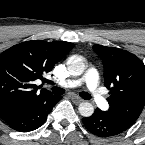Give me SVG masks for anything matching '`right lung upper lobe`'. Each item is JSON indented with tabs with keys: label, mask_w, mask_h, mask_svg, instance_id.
<instances>
[{
	"label": "right lung upper lobe",
	"mask_w": 145,
	"mask_h": 145,
	"mask_svg": "<svg viewBox=\"0 0 145 145\" xmlns=\"http://www.w3.org/2000/svg\"><path fill=\"white\" fill-rule=\"evenodd\" d=\"M74 44L65 41H26L0 54V116L22 107L32 106L52 94L45 89L37 93L34 81L44 78Z\"/></svg>",
	"instance_id": "obj_1"
}]
</instances>
